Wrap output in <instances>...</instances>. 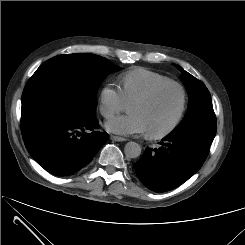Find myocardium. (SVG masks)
I'll return each instance as SVG.
<instances>
[{"mask_svg":"<svg viewBox=\"0 0 245 245\" xmlns=\"http://www.w3.org/2000/svg\"><path fill=\"white\" fill-rule=\"evenodd\" d=\"M168 88H175L179 91L180 96H181V102H180L179 110H178L174 120L166 128H164L160 131H157V132L146 131V136L149 139L164 138V137L170 135L172 132H174L176 130V128L179 126V124L181 123V121L184 117V114H185L186 108H187V93H186L185 88L181 84L174 82V81L161 83V84H157V85L153 86L147 92H145L144 94L134 98L133 100H131L129 102V104L133 103V102H135V103L148 102V101L152 100L156 95H158L161 91L168 89Z\"/></svg>","mask_w":245,"mask_h":245,"instance_id":"obj_1","label":"myocardium"}]
</instances>
